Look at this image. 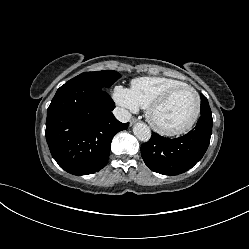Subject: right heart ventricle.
Instances as JSON below:
<instances>
[{"instance_id": "right-heart-ventricle-1", "label": "right heart ventricle", "mask_w": 249, "mask_h": 249, "mask_svg": "<svg viewBox=\"0 0 249 249\" xmlns=\"http://www.w3.org/2000/svg\"><path fill=\"white\" fill-rule=\"evenodd\" d=\"M186 84L183 81L159 76L136 78L131 82L130 91L139 107L147 108L154 100L169 89Z\"/></svg>"}]
</instances>
